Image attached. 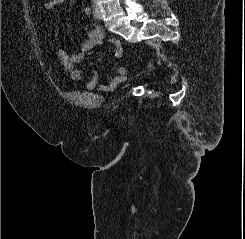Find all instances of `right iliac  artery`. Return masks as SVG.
I'll return each mask as SVG.
<instances>
[{
	"instance_id": "1",
	"label": "right iliac artery",
	"mask_w": 245,
	"mask_h": 239,
	"mask_svg": "<svg viewBox=\"0 0 245 239\" xmlns=\"http://www.w3.org/2000/svg\"><path fill=\"white\" fill-rule=\"evenodd\" d=\"M93 15H94V17L96 18V19H100L99 17H98V15L96 14V11L95 10H93Z\"/></svg>"
}]
</instances>
